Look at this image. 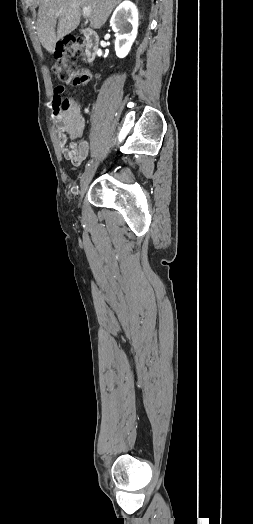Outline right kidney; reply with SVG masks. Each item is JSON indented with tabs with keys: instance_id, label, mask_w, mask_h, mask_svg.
Masks as SVG:
<instances>
[{
	"instance_id": "right-kidney-1",
	"label": "right kidney",
	"mask_w": 253,
	"mask_h": 524,
	"mask_svg": "<svg viewBox=\"0 0 253 524\" xmlns=\"http://www.w3.org/2000/svg\"><path fill=\"white\" fill-rule=\"evenodd\" d=\"M110 25L116 32L115 51L119 58H124L130 51L137 36L138 10L130 1H124L114 11ZM130 25L132 30H130Z\"/></svg>"
}]
</instances>
